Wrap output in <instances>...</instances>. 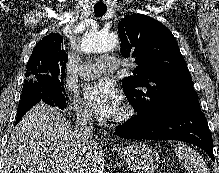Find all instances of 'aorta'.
Segmentation results:
<instances>
[{
    "instance_id": "obj_1",
    "label": "aorta",
    "mask_w": 219,
    "mask_h": 173,
    "mask_svg": "<svg viewBox=\"0 0 219 173\" xmlns=\"http://www.w3.org/2000/svg\"><path fill=\"white\" fill-rule=\"evenodd\" d=\"M119 45L118 38L101 30L92 29L82 39L81 51L84 53H101L113 51Z\"/></svg>"
}]
</instances>
